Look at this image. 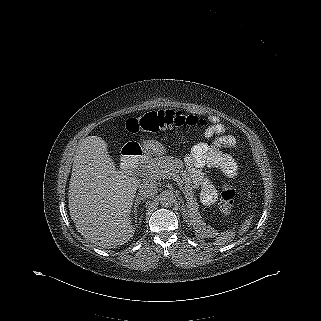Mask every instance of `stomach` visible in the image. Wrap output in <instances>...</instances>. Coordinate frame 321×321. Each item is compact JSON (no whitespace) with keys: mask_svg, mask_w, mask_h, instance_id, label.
<instances>
[{"mask_svg":"<svg viewBox=\"0 0 321 321\" xmlns=\"http://www.w3.org/2000/svg\"><path fill=\"white\" fill-rule=\"evenodd\" d=\"M140 146L142 148V151L145 154H160L164 151V148L159 142L153 141V140H148V141H143L140 143Z\"/></svg>","mask_w":321,"mask_h":321,"instance_id":"1","label":"stomach"}]
</instances>
